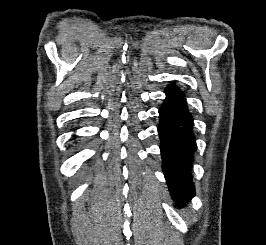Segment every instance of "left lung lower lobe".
Returning a JSON list of instances; mask_svg holds the SVG:
<instances>
[{"label":"left lung lower lobe","instance_id":"1","mask_svg":"<svg viewBox=\"0 0 266 245\" xmlns=\"http://www.w3.org/2000/svg\"><path fill=\"white\" fill-rule=\"evenodd\" d=\"M166 98L159 109L158 134L163 171L173 200H191L195 188L191 176L196 150L193 117L182 91L174 85L165 89Z\"/></svg>","mask_w":266,"mask_h":245}]
</instances>
